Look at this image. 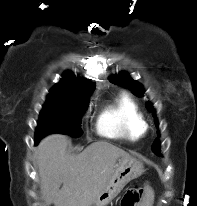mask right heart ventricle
<instances>
[{
    "label": "right heart ventricle",
    "mask_w": 197,
    "mask_h": 206,
    "mask_svg": "<svg viewBox=\"0 0 197 206\" xmlns=\"http://www.w3.org/2000/svg\"><path fill=\"white\" fill-rule=\"evenodd\" d=\"M146 125L137 104L127 95H119L99 115L98 133L109 138L138 139Z\"/></svg>",
    "instance_id": "e07e8e85"
}]
</instances>
